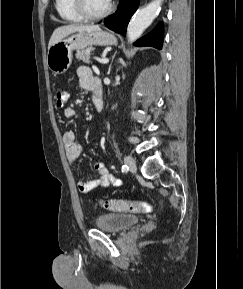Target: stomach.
Returning a JSON list of instances; mask_svg holds the SVG:
<instances>
[{
    "label": "stomach",
    "mask_w": 243,
    "mask_h": 289,
    "mask_svg": "<svg viewBox=\"0 0 243 289\" xmlns=\"http://www.w3.org/2000/svg\"><path fill=\"white\" fill-rule=\"evenodd\" d=\"M117 44L116 37L106 31H77L67 35L49 48L47 65L54 74H63L72 63L73 50H82L92 45Z\"/></svg>",
    "instance_id": "obj_1"
}]
</instances>
